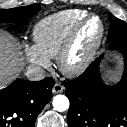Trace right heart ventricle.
Masks as SVG:
<instances>
[{
	"instance_id": "e07e8e85",
	"label": "right heart ventricle",
	"mask_w": 127,
	"mask_h": 127,
	"mask_svg": "<svg viewBox=\"0 0 127 127\" xmlns=\"http://www.w3.org/2000/svg\"><path fill=\"white\" fill-rule=\"evenodd\" d=\"M87 14L85 10L69 9L41 19L33 29L35 46L47 58H55L70 31Z\"/></svg>"
}]
</instances>
